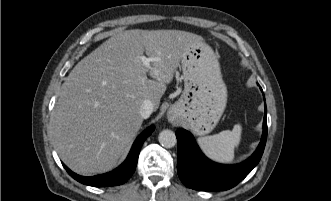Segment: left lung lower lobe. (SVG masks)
Here are the masks:
<instances>
[{
    "mask_svg": "<svg viewBox=\"0 0 331 201\" xmlns=\"http://www.w3.org/2000/svg\"><path fill=\"white\" fill-rule=\"evenodd\" d=\"M266 116L265 106L261 142L250 158L237 165H221L210 161L201 153L191 133L178 129L176 131L177 172L182 183L198 191H222L236 186L253 170L262 157L267 139Z\"/></svg>",
    "mask_w": 331,
    "mask_h": 201,
    "instance_id": "obj_1",
    "label": "left lung lower lobe"
}]
</instances>
